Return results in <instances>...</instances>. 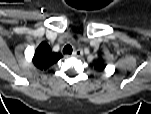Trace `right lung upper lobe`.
I'll return each instance as SVG.
<instances>
[{
    "mask_svg": "<svg viewBox=\"0 0 151 114\" xmlns=\"http://www.w3.org/2000/svg\"><path fill=\"white\" fill-rule=\"evenodd\" d=\"M62 55L51 50L46 42H42L35 51L33 64L40 70H46L56 63Z\"/></svg>",
    "mask_w": 151,
    "mask_h": 114,
    "instance_id": "obj_1",
    "label": "right lung upper lobe"
}]
</instances>
